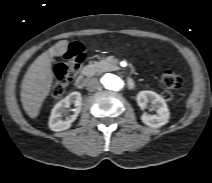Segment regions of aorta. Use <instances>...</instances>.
I'll return each instance as SVG.
<instances>
[{"label":"aorta","mask_w":212,"mask_h":183,"mask_svg":"<svg viewBox=\"0 0 212 183\" xmlns=\"http://www.w3.org/2000/svg\"><path fill=\"white\" fill-rule=\"evenodd\" d=\"M101 83L106 90L111 92L121 91L125 86L124 80L114 74H105L101 78Z\"/></svg>","instance_id":"762f6f07"}]
</instances>
